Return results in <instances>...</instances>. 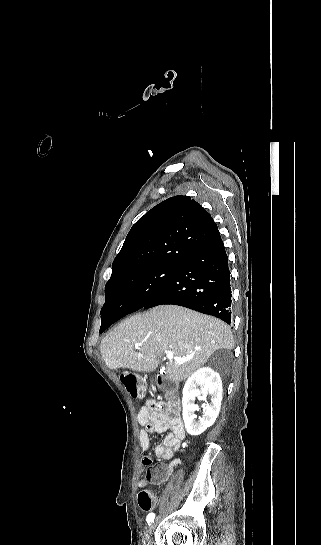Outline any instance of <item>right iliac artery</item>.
I'll list each match as a JSON object with an SVG mask.
<instances>
[{
  "instance_id": "obj_1",
  "label": "right iliac artery",
  "mask_w": 321,
  "mask_h": 545,
  "mask_svg": "<svg viewBox=\"0 0 321 545\" xmlns=\"http://www.w3.org/2000/svg\"><path fill=\"white\" fill-rule=\"evenodd\" d=\"M154 519H155V514L154 513H149L148 516H147V522L148 524L154 522Z\"/></svg>"
}]
</instances>
